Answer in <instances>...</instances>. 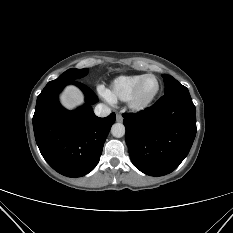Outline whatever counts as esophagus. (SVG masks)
Segmentation results:
<instances>
[{"instance_id":"1","label":"esophagus","mask_w":233,"mask_h":233,"mask_svg":"<svg viewBox=\"0 0 233 233\" xmlns=\"http://www.w3.org/2000/svg\"><path fill=\"white\" fill-rule=\"evenodd\" d=\"M116 121L117 122H122L123 121V117L120 114L116 115Z\"/></svg>"}]
</instances>
